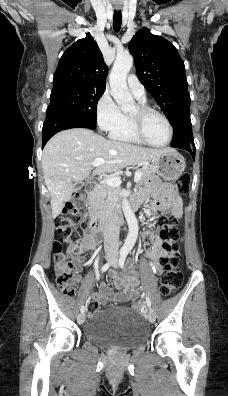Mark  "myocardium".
<instances>
[{
    "label": "myocardium",
    "instance_id": "myocardium-1",
    "mask_svg": "<svg viewBox=\"0 0 228 396\" xmlns=\"http://www.w3.org/2000/svg\"><path fill=\"white\" fill-rule=\"evenodd\" d=\"M136 108H137L136 112L134 114H130L129 116H130L133 131H134L135 135L138 137V139L142 143H144L148 146L154 147V148H165V147L169 146L170 143L172 142L173 134H174L173 126H172L169 118L160 110H158L154 107H151L149 105H146V104L139 103L136 105ZM149 114H156V115L160 116L166 123L167 128H168V139L165 143L160 144V145L153 144L146 138V136L144 134V129H143V120Z\"/></svg>",
    "mask_w": 228,
    "mask_h": 396
}]
</instances>
